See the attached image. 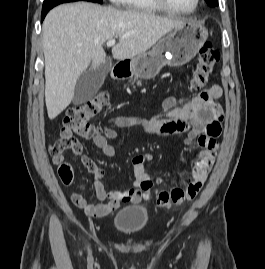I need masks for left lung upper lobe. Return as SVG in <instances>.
I'll list each match as a JSON object with an SVG mask.
<instances>
[{"mask_svg": "<svg viewBox=\"0 0 265 269\" xmlns=\"http://www.w3.org/2000/svg\"><path fill=\"white\" fill-rule=\"evenodd\" d=\"M210 7L218 6L217 0H205Z\"/></svg>", "mask_w": 265, "mask_h": 269, "instance_id": "left-lung-upper-lobe-1", "label": "left lung upper lobe"}]
</instances>
